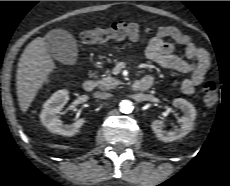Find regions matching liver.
I'll list each match as a JSON object with an SVG mask.
<instances>
[{
    "label": "liver",
    "instance_id": "6515ba94",
    "mask_svg": "<svg viewBox=\"0 0 230 186\" xmlns=\"http://www.w3.org/2000/svg\"><path fill=\"white\" fill-rule=\"evenodd\" d=\"M46 37L31 41L19 59L16 86L22 112L28 110L48 76L56 69L46 47Z\"/></svg>",
    "mask_w": 230,
    "mask_h": 186
}]
</instances>
